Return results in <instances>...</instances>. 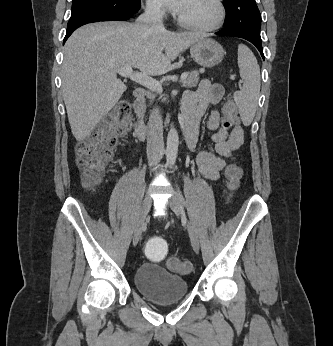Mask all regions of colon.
Instances as JSON below:
<instances>
[{
    "label": "colon",
    "instance_id": "1",
    "mask_svg": "<svg viewBox=\"0 0 333 346\" xmlns=\"http://www.w3.org/2000/svg\"><path fill=\"white\" fill-rule=\"evenodd\" d=\"M131 104L122 100L108 114L90 136L76 146V162L81 172L84 186L88 188L98 185L111 160L113 150L117 146L118 137L130 127ZM223 120L230 128L237 123L238 113L232 100H228L223 108ZM227 187L231 191L238 189L242 170L235 162H230L225 169ZM147 244L143 249L147 260L153 264L166 261L169 270L187 274L192 270L191 263L172 257L168 259V249L163 235H147Z\"/></svg>",
    "mask_w": 333,
    "mask_h": 346
}]
</instances>
